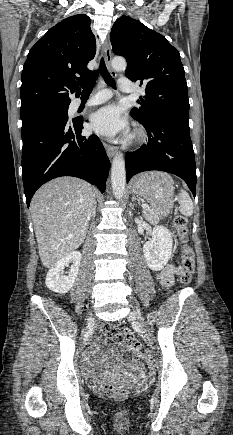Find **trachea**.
Instances as JSON below:
<instances>
[{
	"instance_id": "1",
	"label": "trachea",
	"mask_w": 233,
	"mask_h": 435,
	"mask_svg": "<svg viewBox=\"0 0 233 435\" xmlns=\"http://www.w3.org/2000/svg\"><path fill=\"white\" fill-rule=\"evenodd\" d=\"M99 72L101 73L105 83H107V85L111 86L112 88L116 89V83L112 78V76L110 75V73L108 72L104 59L101 58L99 70H95L92 76L87 81L79 83V85L83 88L82 91L83 95H89L92 92L94 84L98 78Z\"/></svg>"
}]
</instances>
